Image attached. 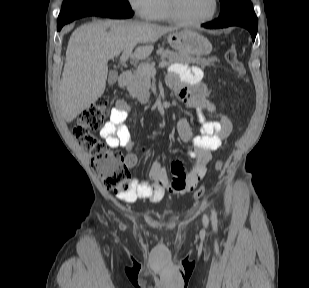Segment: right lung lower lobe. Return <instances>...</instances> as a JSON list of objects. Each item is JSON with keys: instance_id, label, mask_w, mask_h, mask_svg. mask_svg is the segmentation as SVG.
I'll list each match as a JSON object with an SVG mask.
<instances>
[{"instance_id": "98d812e1", "label": "right lung lower lobe", "mask_w": 309, "mask_h": 288, "mask_svg": "<svg viewBox=\"0 0 309 288\" xmlns=\"http://www.w3.org/2000/svg\"><path fill=\"white\" fill-rule=\"evenodd\" d=\"M85 16H103V17H109V18H130L133 16L132 10L127 9H120V8H106V7H97L88 9L84 12H81L80 14L74 16L66 23H63L61 25H57V30L60 31L61 28L69 23L72 22L75 19L82 18Z\"/></svg>"}]
</instances>
